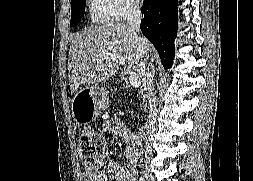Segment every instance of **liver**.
Listing matches in <instances>:
<instances>
[{"label":"liver","instance_id":"1","mask_svg":"<svg viewBox=\"0 0 253 181\" xmlns=\"http://www.w3.org/2000/svg\"><path fill=\"white\" fill-rule=\"evenodd\" d=\"M136 36L129 25L119 22L92 25L76 33L68 59L71 91H76L81 85L100 83L115 74L118 69L117 63L110 58H99L98 54L102 52L123 55L128 68L133 69L143 80L144 55L138 50ZM145 40L151 63L157 54L151 43Z\"/></svg>","mask_w":253,"mask_h":181}]
</instances>
